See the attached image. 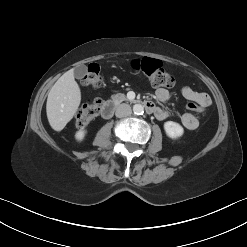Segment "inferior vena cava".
<instances>
[{"label": "inferior vena cava", "mask_w": 247, "mask_h": 247, "mask_svg": "<svg viewBox=\"0 0 247 247\" xmlns=\"http://www.w3.org/2000/svg\"><path fill=\"white\" fill-rule=\"evenodd\" d=\"M132 113L131 107L128 104H120L117 109L115 115L118 118L129 116Z\"/></svg>", "instance_id": "1"}]
</instances>
